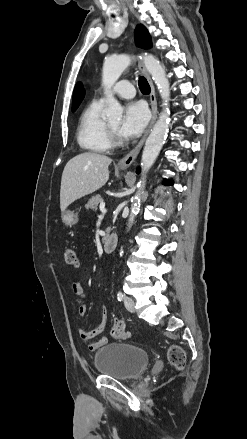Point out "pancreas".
Wrapping results in <instances>:
<instances>
[{
    "label": "pancreas",
    "instance_id": "1",
    "mask_svg": "<svg viewBox=\"0 0 247 439\" xmlns=\"http://www.w3.org/2000/svg\"><path fill=\"white\" fill-rule=\"evenodd\" d=\"M102 202H103V199L100 195L92 196L86 204V209L87 210H89V209L96 210L98 205ZM110 230H111L110 228H107L106 232L109 233Z\"/></svg>",
    "mask_w": 247,
    "mask_h": 439
}]
</instances>
